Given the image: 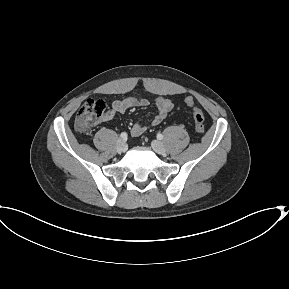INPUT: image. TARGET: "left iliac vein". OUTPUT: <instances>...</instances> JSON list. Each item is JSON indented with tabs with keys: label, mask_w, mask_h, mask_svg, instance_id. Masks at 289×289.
Returning a JSON list of instances; mask_svg holds the SVG:
<instances>
[{
	"label": "left iliac vein",
	"mask_w": 289,
	"mask_h": 289,
	"mask_svg": "<svg viewBox=\"0 0 289 289\" xmlns=\"http://www.w3.org/2000/svg\"><path fill=\"white\" fill-rule=\"evenodd\" d=\"M151 145L153 150L158 154H164L166 152L164 144L158 140L152 141Z\"/></svg>",
	"instance_id": "4c4485c4"
}]
</instances>
